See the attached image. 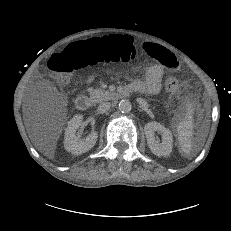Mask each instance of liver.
Instances as JSON below:
<instances>
[{
    "label": "liver",
    "instance_id": "6515ba94",
    "mask_svg": "<svg viewBox=\"0 0 231 231\" xmlns=\"http://www.w3.org/2000/svg\"><path fill=\"white\" fill-rule=\"evenodd\" d=\"M38 150L43 152L46 156H48L49 158H52L54 155V147H49L47 146L45 143L43 144H39L38 145Z\"/></svg>",
    "mask_w": 231,
    "mask_h": 231
}]
</instances>
